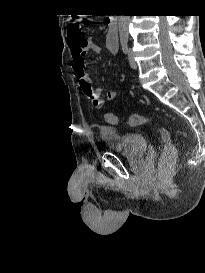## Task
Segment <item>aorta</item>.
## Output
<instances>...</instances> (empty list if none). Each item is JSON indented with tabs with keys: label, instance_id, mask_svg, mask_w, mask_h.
Masks as SVG:
<instances>
[{
	"label": "aorta",
	"instance_id": "762f6f07",
	"mask_svg": "<svg viewBox=\"0 0 205 273\" xmlns=\"http://www.w3.org/2000/svg\"><path fill=\"white\" fill-rule=\"evenodd\" d=\"M130 16H118V29L121 41H128Z\"/></svg>",
	"mask_w": 205,
	"mask_h": 273
}]
</instances>
